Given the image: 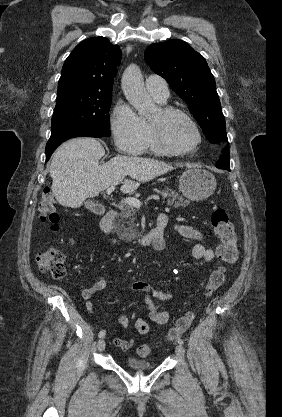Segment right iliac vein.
<instances>
[{
  "label": "right iliac vein",
  "instance_id": "obj_1",
  "mask_svg": "<svg viewBox=\"0 0 282 417\" xmlns=\"http://www.w3.org/2000/svg\"><path fill=\"white\" fill-rule=\"evenodd\" d=\"M98 351L102 352L105 349V341L100 339L97 344Z\"/></svg>",
  "mask_w": 282,
  "mask_h": 417
}]
</instances>
